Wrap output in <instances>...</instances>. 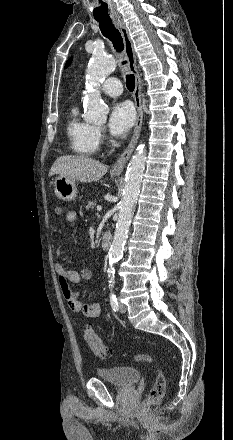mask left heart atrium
<instances>
[{"label": "left heart atrium", "mask_w": 233, "mask_h": 440, "mask_svg": "<svg viewBox=\"0 0 233 440\" xmlns=\"http://www.w3.org/2000/svg\"><path fill=\"white\" fill-rule=\"evenodd\" d=\"M135 113L127 102L115 103L110 111L108 129L114 136H124L133 126Z\"/></svg>", "instance_id": "39dd6f15"}]
</instances>
